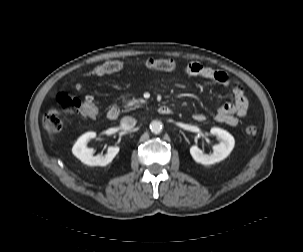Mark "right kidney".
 Wrapping results in <instances>:
<instances>
[{"label": "right kidney", "mask_w": 303, "mask_h": 252, "mask_svg": "<svg viewBox=\"0 0 303 252\" xmlns=\"http://www.w3.org/2000/svg\"><path fill=\"white\" fill-rule=\"evenodd\" d=\"M95 137V132H87L82 135L74 144L72 148V153L81 162L89 166H106L112 162V160L118 154L120 149L118 146H110L108 147L107 154L105 156H93V150L87 147V143L89 140Z\"/></svg>", "instance_id": "1"}]
</instances>
